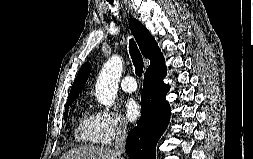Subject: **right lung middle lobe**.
Listing matches in <instances>:
<instances>
[{
    "mask_svg": "<svg viewBox=\"0 0 253 159\" xmlns=\"http://www.w3.org/2000/svg\"><path fill=\"white\" fill-rule=\"evenodd\" d=\"M75 99H72V100H68L67 102H66V105H65V109H66V112H65V116H64V118H65V121L67 120V113H68V107H69V105H71L72 103H73V101H74Z\"/></svg>",
    "mask_w": 253,
    "mask_h": 159,
    "instance_id": "1",
    "label": "right lung middle lobe"
}]
</instances>
